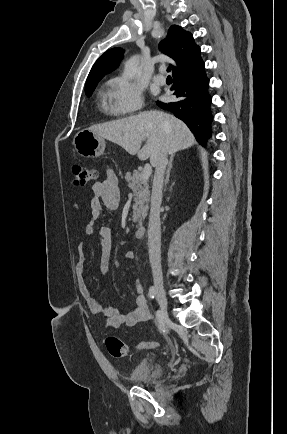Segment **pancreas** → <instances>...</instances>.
<instances>
[{"instance_id": "1", "label": "pancreas", "mask_w": 287, "mask_h": 434, "mask_svg": "<svg viewBox=\"0 0 287 434\" xmlns=\"http://www.w3.org/2000/svg\"><path fill=\"white\" fill-rule=\"evenodd\" d=\"M142 173L133 171V173H126L125 179L128 182V187L132 190L134 195V204L132 206V218L134 222L142 221L148 211L149 202V185L147 181L142 178Z\"/></svg>"}]
</instances>
